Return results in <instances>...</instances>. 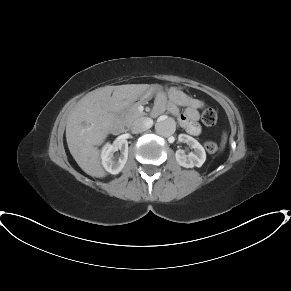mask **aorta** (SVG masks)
I'll use <instances>...</instances> for the list:
<instances>
[{"label": "aorta", "instance_id": "1", "mask_svg": "<svg viewBox=\"0 0 291 291\" xmlns=\"http://www.w3.org/2000/svg\"><path fill=\"white\" fill-rule=\"evenodd\" d=\"M176 130L175 120L168 116H161L155 124V131L158 135L168 137L171 136Z\"/></svg>", "mask_w": 291, "mask_h": 291}]
</instances>
